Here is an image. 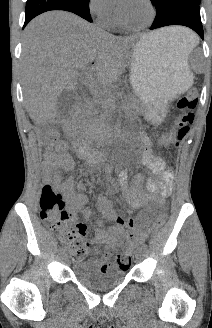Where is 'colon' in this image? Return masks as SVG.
<instances>
[{"label": "colon", "mask_w": 212, "mask_h": 328, "mask_svg": "<svg viewBox=\"0 0 212 328\" xmlns=\"http://www.w3.org/2000/svg\"><path fill=\"white\" fill-rule=\"evenodd\" d=\"M198 102V91L190 89L178 102V113L174 123L166 136L161 139V146L169 148L178 147L188 134L194 120V110ZM59 142L56 131L48 132L43 138V144L53 147ZM65 203L62 194L50 185H44L40 197V216L55 231L59 233L60 241L66 245L75 259H80L86 254L88 243L85 239V225L75 223L69 225L70 215L64 208ZM156 215L154 228L161 227L167 219V213L155 206L152 209ZM131 258L129 253L120 254L117 258V266L126 270L129 268Z\"/></svg>", "instance_id": "1"}]
</instances>
